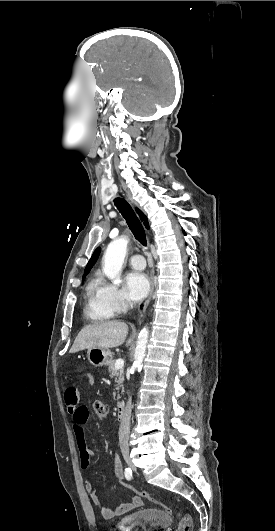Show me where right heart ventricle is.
I'll use <instances>...</instances> for the list:
<instances>
[{
	"mask_svg": "<svg viewBox=\"0 0 275 531\" xmlns=\"http://www.w3.org/2000/svg\"><path fill=\"white\" fill-rule=\"evenodd\" d=\"M96 285L97 282L94 279H91L85 289V311L94 320H104L108 316L101 311L95 304V295H96Z\"/></svg>",
	"mask_w": 275,
	"mask_h": 531,
	"instance_id": "right-heart-ventricle-1",
	"label": "right heart ventricle"
}]
</instances>
